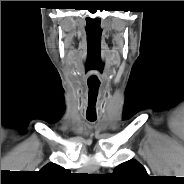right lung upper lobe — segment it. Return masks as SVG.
Wrapping results in <instances>:
<instances>
[{
  "label": "right lung upper lobe",
  "instance_id": "right-lung-upper-lobe-1",
  "mask_svg": "<svg viewBox=\"0 0 184 184\" xmlns=\"http://www.w3.org/2000/svg\"><path fill=\"white\" fill-rule=\"evenodd\" d=\"M40 173L51 182H60L68 175L69 171L57 164L49 163L40 170Z\"/></svg>",
  "mask_w": 184,
  "mask_h": 184
}]
</instances>
